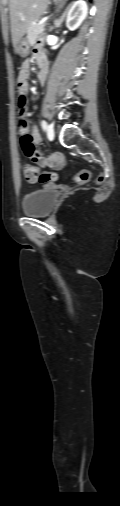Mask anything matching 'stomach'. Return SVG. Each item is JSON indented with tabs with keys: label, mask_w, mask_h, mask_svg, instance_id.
Segmentation results:
<instances>
[{
	"label": "stomach",
	"mask_w": 120,
	"mask_h": 506,
	"mask_svg": "<svg viewBox=\"0 0 120 506\" xmlns=\"http://www.w3.org/2000/svg\"><path fill=\"white\" fill-rule=\"evenodd\" d=\"M30 43L27 38H21L20 41L14 45V53L21 58H25L29 54Z\"/></svg>",
	"instance_id": "0dacf381"
}]
</instances>
